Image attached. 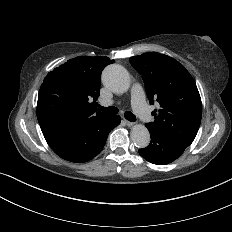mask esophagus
Segmentation results:
<instances>
[{"mask_svg": "<svg viewBox=\"0 0 232 232\" xmlns=\"http://www.w3.org/2000/svg\"><path fill=\"white\" fill-rule=\"evenodd\" d=\"M125 123H126L127 126H133L134 125L133 122H130V121H127V120H125Z\"/></svg>", "mask_w": 232, "mask_h": 232, "instance_id": "1", "label": "esophagus"}]
</instances>
